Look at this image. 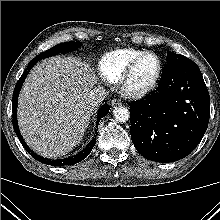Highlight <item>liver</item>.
<instances>
[{"mask_svg":"<svg viewBox=\"0 0 220 220\" xmlns=\"http://www.w3.org/2000/svg\"><path fill=\"white\" fill-rule=\"evenodd\" d=\"M97 83L89 64L55 56L37 64L19 94L18 124L37 154L57 158L80 143L94 106L88 101Z\"/></svg>","mask_w":220,"mask_h":220,"instance_id":"liver-1","label":"liver"}]
</instances>
